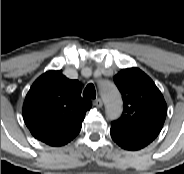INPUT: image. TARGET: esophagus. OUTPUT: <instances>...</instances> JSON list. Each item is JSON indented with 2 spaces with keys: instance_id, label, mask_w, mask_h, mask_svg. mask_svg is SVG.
Masks as SVG:
<instances>
[{
  "instance_id": "34e87169",
  "label": "esophagus",
  "mask_w": 184,
  "mask_h": 174,
  "mask_svg": "<svg viewBox=\"0 0 184 174\" xmlns=\"http://www.w3.org/2000/svg\"><path fill=\"white\" fill-rule=\"evenodd\" d=\"M93 104L96 106V107H102L103 106V101L101 98H96L93 102Z\"/></svg>"
}]
</instances>
